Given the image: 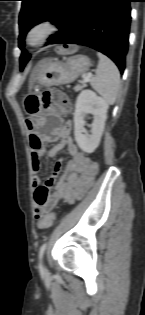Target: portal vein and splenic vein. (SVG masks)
Masks as SVG:
<instances>
[{
    "label": "portal vein and splenic vein",
    "instance_id": "18ae733b",
    "mask_svg": "<svg viewBox=\"0 0 145 315\" xmlns=\"http://www.w3.org/2000/svg\"><path fill=\"white\" fill-rule=\"evenodd\" d=\"M90 77H91V75L84 76V77H83V83L88 82L89 79H90Z\"/></svg>",
    "mask_w": 145,
    "mask_h": 315
}]
</instances>
